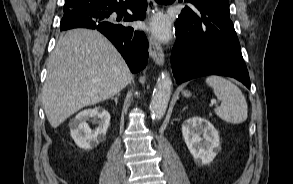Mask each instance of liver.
Returning a JSON list of instances; mask_svg holds the SVG:
<instances>
[{
    "label": "liver",
    "mask_w": 293,
    "mask_h": 184,
    "mask_svg": "<svg viewBox=\"0 0 293 184\" xmlns=\"http://www.w3.org/2000/svg\"><path fill=\"white\" fill-rule=\"evenodd\" d=\"M47 70L42 103L53 128L80 109L118 94L133 79L110 41L84 28L72 29L59 39Z\"/></svg>",
    "instance_id": "obj_1"
}]
</instances>
